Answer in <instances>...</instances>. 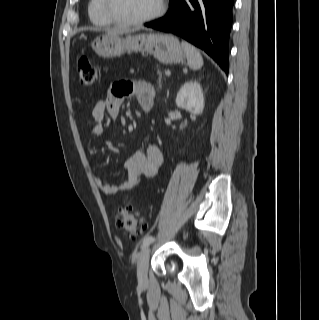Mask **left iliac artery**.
Here are the masks:
<instances>
[{
	"label": "left iliac artery",
	"instance_id": "1",
	"mask_svg": "<svg viewBox=\"0 0 319 320\" xmlns=\"http://www.w3.org/2000/svg\"><path fill=\"white\" fill-rule=\"evenodd\" d=\"M154 240H155V238H154L153 236H147V237H145L144 240H143L142 247L148 246V245L151 244Z\"/></svg>",
	"mask_w": 319,
	"mask_h": 320
}]
</instances>
